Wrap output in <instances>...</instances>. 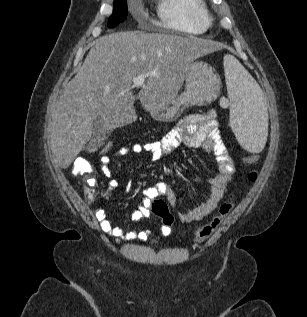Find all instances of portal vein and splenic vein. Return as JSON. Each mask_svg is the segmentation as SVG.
<instances>
[{
	"instance_id": "portal-vein-and-splenic-vein-1",
	"label": "portal vein and splenic vein",
	"mask_w": 307,
	"mask_h": 317,
	"mask_svg": "<svg viewBox=\"0 0 307 317\" xmlns=\"http://www.w3.org/2000/svg\"><path fill=\"white\" fill-rule=\"evenodd\" d=\"M154 75L153 73L140 74L138 75L133 82L132 87H141L144 84L146 77Z\"/></svg>"
}]
</instances>
